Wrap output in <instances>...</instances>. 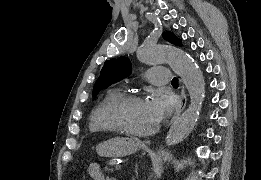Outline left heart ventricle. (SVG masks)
Listing matches in <instances>:
<instances>
[{"instance_id":"b2bd125f","label":"left heart ventricle","mask_w":261,"mask_h":180,"mask_svg":"<svg viewBox=\"0 0 261 180\" xmlns=\"http://www.w3.org/2000/svg\"><path fill=\"white\" fill-rule=\"evenodd\" d=\"M115 117L126 135L137 137L149 133L159 119L150 108L148 101L143 98L118 109Z\"/></svg>"}]
</instances>
